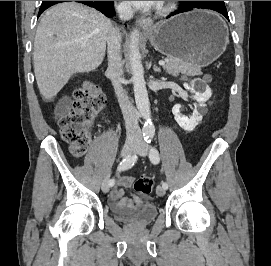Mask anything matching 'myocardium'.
<instances>
[{"label":"myocardium","instance_id":"obj_1","mask_svg":"<svg viewBox=\"0 0 271 266\" xmlns=\"http://www.w3.org/2000/svg\"><path fill=\"white\" fill-rule=\"evenodd\" d=\"M172 9H173V5L171 2H162L158 6V12L160 14H166V13L170 12Z\"/></svg>","mask_w":271,"mask_h":266}]
</instances>
